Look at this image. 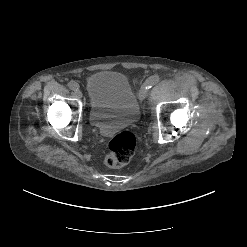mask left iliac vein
Returning <instances> with one entry per match:
<instances>
[{
	"label": "left iliac vein",
	"mask_w": 247,
	"mask_h": 247,
	"mask_svg": "<svg viewBox=\"0 0 247 247\" xmlns=\"http://www.w3.org/2000/svg\"><path fill=\"white\" fill-rule=\"evenodd\" d=\"M148 93H149L148 88L146 87V85H143L139 93L141 100H144L148 96Z\"/></svg>",
	"instance_id": "obj_1"
}]
</instances>
